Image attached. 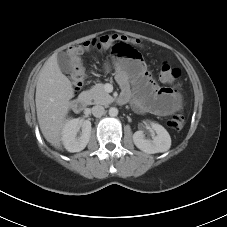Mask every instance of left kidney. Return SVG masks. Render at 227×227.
I'll use <instances>...</instances> for the list:
<instances>
[{
  "label": "left kidney",
  "instance_id": "1",
  "mask_svg": "<svg viewBox=\"0 0 227 227\" xmlns=\"http://www.w3.org/2000/svg\"><path fill=\"white\" fill-rule=\"evenodd\" d=\"M151 127L156 132V136L153 140L145 139L142 131H136L133 134V141L136 147L148 154L169 150L171 146V138L166 129L160 124L154 122H151Z\"/></svg>",
  "mask_w": 227,
  "mask_h": 227
}]
</instances>
